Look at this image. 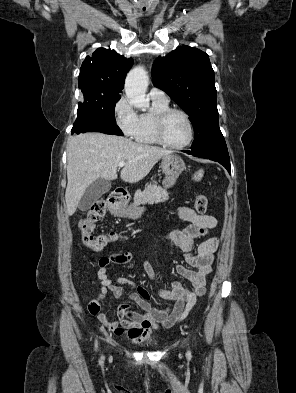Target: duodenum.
<instances>
[{
	"mask_svg": "<svg viewBox=\"0 0 296 393\" xmlns=\"http://www.w3.org/2000/svg\"><path fill=\"white\" fill-rule=\"evenodd\" d=\"M127 195L123 189H117L108 199L110 210L115 212L126 200Z\"/></svg>",
	"mask_w": 296,
	"mask_h": 393,
	"instance_id": "duodenum-1",
	"label": "duodenum"
}]
</instances>
